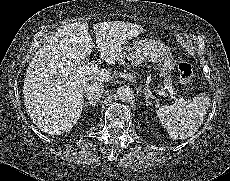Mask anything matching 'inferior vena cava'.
I'll list each match as a JSON object with an SVG mask.
<instances>
[{
	"label": "inferior vena cava",
	"mask_w": 230,
	"mask_h": 181,
	"mask_svg": "<svg viewBox=\"0 0 230 181\" xmlns=\"http://www.w3.org/2000/svg\"><path fill=\"white\" fill-rule=\"evenodd\" d=\"M104 93L102 84H93L85 89V96L87 99L98 101Z\"/></svg>",
	"instance_id": "1"
}]
</instances>
